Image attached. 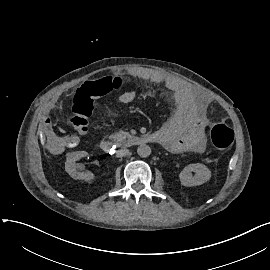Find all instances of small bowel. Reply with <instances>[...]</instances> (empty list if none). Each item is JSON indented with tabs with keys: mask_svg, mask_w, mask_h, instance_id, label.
<instances>
[{
	"mask_svg": "<svg viewBox=\"0 0 270 270\" xmlns=\"http://www.w3.org/2000/svg\"><path fill=\"white\" fill-rule=\"evenodd\" d=\"M129 74L161 85L173 94L178 103L191 105V113L188 118L168 120L157 130L156 134L162 146L172 153L202 152L205 148V131L209 123L206 115L207 100L178 79L166 73L148 68H139L130 70ZM134 98L135 93L132 90H127L120 95L119 100L123 104H129ZM45 127L52 129L54 122L47 120ZM45 140L50 142V149L56 154L77 145V140L71 135L58 138L53 133H47Z\"/></svg>",
	"mask_w": 270,
	"mask_h": 270,
	"instance_id": "small-bowel-1",
	"label": "small bowel"
}]
</instances>
